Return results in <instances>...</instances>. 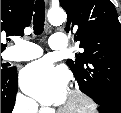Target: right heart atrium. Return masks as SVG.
Returning <instances> with one entry per match:
<instances>
[{"label":"right heart atrium","mask_w":121,"mask_h":113,"mask_svg":"<svg viewBox=\"0 0 121 113\" xmlns=\"http://www.w3.org/2000/svg\"><path fill=\"white\" fill-rule=\"evenodd\" d=\"M19 102H20L21 108L23 109H28V110L34 109L33 102L23 96L20 97Z\"/></svg>","instance_id":"right-heart-atrium-1"}]
</instances>
